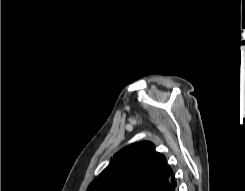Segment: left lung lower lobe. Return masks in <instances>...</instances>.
Wrapping results in <instances>:
<instances>
[{"mask_svg":"<svg viewBox=\"0 0 245 191\" xmlns=\"http://www.w3.org/2000/svg\"><path fill=\"white\" fill-rule=\"evenodd\" d=\"M160 191H177V182L174 176L169 180V182L163 186Z\"/></svg>","mask_w":245,"mask_h":191,"instance_id":"obj_1","label":"left lung lower lobe"}]
</instances>
